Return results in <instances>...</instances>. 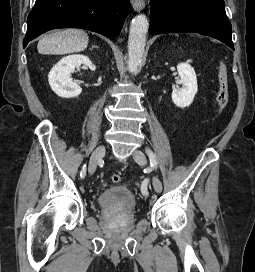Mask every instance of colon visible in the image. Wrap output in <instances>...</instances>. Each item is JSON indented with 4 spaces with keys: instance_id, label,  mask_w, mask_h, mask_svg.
I'll return each mask as SVG.
<instances>
[{
    "instance_id": "colon-1",
    "label": "colon",
    "mask_w": 255,
    "mask_h": 272,
    "mask_svg": "<svg viewBox=\"0 0 255 272\" xmlns=\"http://www.w3.org/2000/svg\"><path fill=\"white\" fill-rule=\"evenodd\" d=\"M218 80H219V88L217 93V102H218L219 110L220 112H222L226 109L228 100H229L228 72H227L226 64L224 62H221L219 64ZM111 180L114 183H118L121 180V176L119 174H113L111 176Z\"/></svg>"
}]
</instances>
